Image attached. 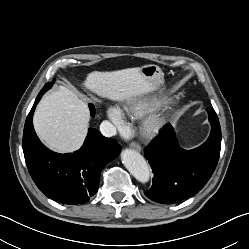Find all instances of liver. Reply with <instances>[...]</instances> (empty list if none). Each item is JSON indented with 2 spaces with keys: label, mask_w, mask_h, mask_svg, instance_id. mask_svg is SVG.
Segmentation results:
<instances>
[{
  "label": "liver",
  "mask_w": 249,
  "mask_h": 249,
  "mask_svg": "<svg viewBox=\"0 0 249 249\" xmlns=\"http://www.w3.org/2000/svg\"><path fill=\"white\" fill-rule=\"evenodd\" d=\"M84 89L112 101H132L153 89L138 68L88 74ZM89 110L68 88L59 86L42 98L34 113L33 124L46 145L61 153L78 150L87 135Z\"/></svg>",
  "instance_id": "liver-1"
}]
</instances>
